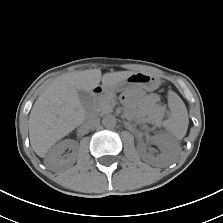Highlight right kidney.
Masks as SVG:
<instances>
[{
  "instance_id": "right-kidney-1",
  "label": "right kidney",
  "mask_w": 223,
  "mask_h": 223,
  "mask_svg": "<svg viewBox=\"0 0 223 223\" xmlns=\"http://www.w3.org/2000/svg\"><path fill=\"white\" fill-rule=\"evenodd\" d=\"M72 141L70 140H63L57 143L48 153L45 158V165L48 168H56L63 165H73L74 164V157L70 156L68 158H63L62 154L65 150L72 145Z\"/></svg>"
}]
</instances>
